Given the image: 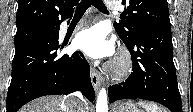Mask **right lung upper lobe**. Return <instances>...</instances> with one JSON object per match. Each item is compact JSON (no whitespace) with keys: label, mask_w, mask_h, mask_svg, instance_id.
<instances>
[{"label":"right lung upper lobe","mask_w":193,"mask_h":112,"mask_svg":"<svg viewBox=\"0 0 193 112\" xmlns=\"http://www.w3.org/2000/svg\"><path fill=\"white\" fill-rule=\"evenodd\" d=\"M79 0H19L16 14L17 31L58 26L73 13Z\"/></svg>","instance_id":"right-lung-upper-lobe-1"}]
</instances>
